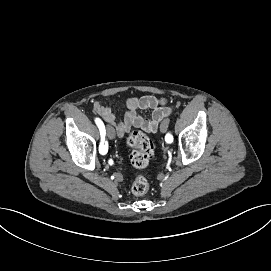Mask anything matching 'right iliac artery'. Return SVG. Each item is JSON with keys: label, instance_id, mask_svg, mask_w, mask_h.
<instances>
[{"label": "right iliac artery", "instance_id": "right-iliac-artery-1", "mask_svg": "<svg viewBox=\"0 0 271 271\" xmlns=\"http://www.w3.org/2000/svg\"><path fill=\"white\" fill-rule=\"evenodd\" d=\"M95 122L100 130V135H101V142L103 144L102 148H103V151L104 153H109L110 149H109V146H108V140L107 138H105V134H106V130H105V126H104V123L101 121V119L99 118H96L95 119Z\"/></svg>", "mask_w": 271, "mask_h": 271}]
</instances>
